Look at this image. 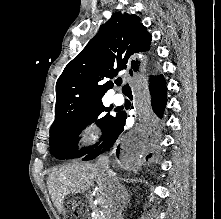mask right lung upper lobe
Returning a JSON list of instances; mask_svg holds the SVG:
<instances>
[{
    "label": "right lung upper lobe",
    "instance_id": "1",
    "mask_svg": "<svg viewBox=\"0 0 221 219\" xmlns=\"http://www.w3.org/2000/svg\"><path fill=\"white\" fill-rule=\"evenodd\" d=\"M151 39L137 15L114 13L58 78L55 121L81 106L102 101L113 87L111 81L101 84L102 80L122 70L139 73L138 54L149 50Z\"/></svg>",
    "mask_w": 221,
    "mask_h": 219
}]
</instances>
